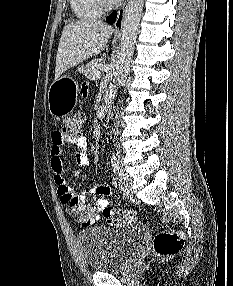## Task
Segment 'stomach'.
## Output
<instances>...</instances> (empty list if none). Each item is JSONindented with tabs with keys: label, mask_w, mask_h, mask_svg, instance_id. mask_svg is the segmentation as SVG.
<instances>
[{
	"label": "stomach",
	"mask_w": 233,
	"mask_h": 286,
	"mask_svg": "<svg viewBox=\"0 0 233 286\" xmlns=\"http://www.w3.org/2000/svg\"><path fill=\"white\" fill-rule=\"evenodd\" d=\"M76 103V88L64 77L55 79L48 91L50 113L57 117L69 114Z\"/></svg>",
	"instance_id": "0dacf381"
}]
</instances>
